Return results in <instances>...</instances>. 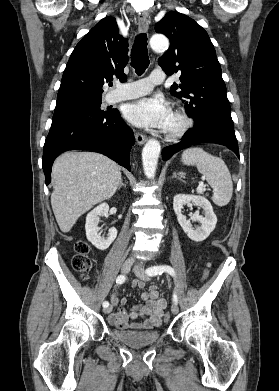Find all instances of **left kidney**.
Segmentation results:
<instances>
[{
  "label": "left kidney",
  "instance_id": "5707ae66",
  "mask_svg": "<svg viewBox=\"0 0 279 391\" xmlns=\"http://www.w3.org/2000/svg\"><path fill=\"white\" fill-rule=\"evenodd\" d=\"M193 202L196 206L204 210V216L195 213L193 221H198L200 226L196 229L192 226L191 221L182 214L183 205ZM173 209L177 215V220L187 236L196 242L205 240L215 229L217 217L213 212L211 203L204 197L198 195L178 194L173 199Z\"/></svg>",
  "mask_w": 279,
  "mask_h": 391
}]
</instances>
